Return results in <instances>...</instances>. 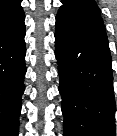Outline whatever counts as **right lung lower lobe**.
<instances>
[{
    "mask_svg": "<svg viewBox=\"0 0 117 136\" xmlns=\"http://www.w3.org/2000/svg\"><path fill=\"white\" fill-rule=\"evenodd\" d=\"M25 24L0 34V136H18L24 93Z\"/></svg>",
    "mask_w": 117,
    "mask_h": 136,
    "instance_id": "98d812e1",
    "label": "right lung lower lobe"
}]
</instances>
